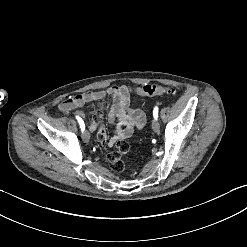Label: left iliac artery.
<instances>
[{"label":"left iliac artery","instance_id":"1","mask_svg":"<svg viewBox=\"0 0 247 247\" xmlns=\"http://www.w3.org/2000/svg\"><path fill=\"white\" fill-rule=\"evenodd\" d=\"M153 116H154L155 119L158 118V107L157 106L153 110Z\"/></svg>","mask_w":247,"mask_h":247}]
</instances>
